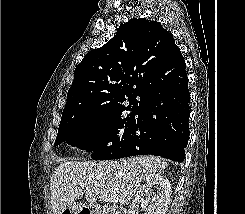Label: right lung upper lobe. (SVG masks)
Instances as JSON below:
<instances>
[{
    "mask_svg": "<svg viewBox=\"0 0 245 214\" xmlns=\"http://www.w3.org/2000/svg\"><path fill=\"white\" fill-rule=\"evenodd\" d=\"M186 78L185 61L172 34L159 22L131 19L77 65L62 115L107 116L136 109L153 88ZM124 101L130 105L122 106Z\"/></svg>",
    "mask_w": 245,
    "mask_h": 214,
    "instance_id": "right-lung-upper-lobe-1",
    "label": "right lung upper lobe"
}]
</instances>
